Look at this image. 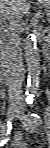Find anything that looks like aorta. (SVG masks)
Instances as JSON below:
<instances>
[{
  "label": "aorta",
  "instance_id": "762f6f07",
  "mask_svg": "<svg viewBox=\"0 0 50 148\" xmlns=\"http://www.w3.org/2000/svg\"><path fill=\"white\" fill-rule=\"evenodd\" d=\"M25 60L28 68V85L26 89V99L31 100L36 91L40 73V62L37 51L36 36L28 34L25 41Z\"/></svg>",
  "mask_w": 50,
  "mask_h": 148
}]
</instances>
